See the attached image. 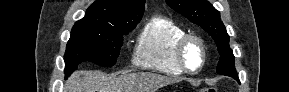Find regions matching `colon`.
Listing matches in <instances>:
<instances>
[{"mask_svg": "<svg viewBox=\"0 0 289 92\" xmlns=\"http://www.w3.org/2000/svg\"><path fill=\"white\" fill-rule=\"evenodd\" d=\"M202 92H216V89L214 88L204 89Z\"/></svg>", "mask_w": 289, "mask_h": 92, "instance_id": "1", "label": "colon"}]
</instances>
